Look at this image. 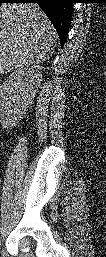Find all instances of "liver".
<instances>
[{
    "label": "liver",
    "instance_id": "liver-1",
    "mask_svg": "<svg viewBox=\"0 0 106 257\" xmlns=\"http://www.w3.org/2000/svg\"><path fill=\"white\" fill-rule=\"evenodd\" d=\"M56 39V32L37 4H1L0 73L45 61Z\"/></svg>",
    "mask_w": 106,
    "mask_h": 257
}]
</instances>
